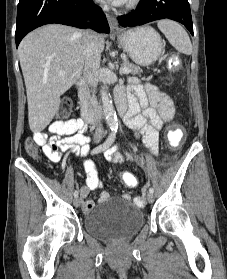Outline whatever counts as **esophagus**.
<instances>
[{
	"mask_svg": "<svg viewBox=\"0 0 227 279\" xmlns=\"http://www.w3.org/2000/svg\"><path fill=\"white\" fill-rule=\"evenodd\" d=\"M106 17H107L111 32L112 33H118L119 30H118V27H117L116 19L110 14H107Z\"/></svg>",
	"mask_w": 227,
	"mask_h": 279,
	"instance_id": "1",
	"label": "esophagus"
}]
</instances>
